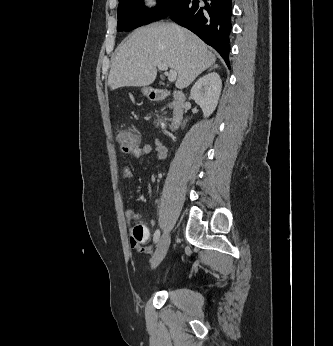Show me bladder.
<instances>
[{"label": "bladder", "mask_w": 333, "mask_h": 346, "mask_svg": "<svg viewBox=\"0 0 333 346\" xmlns=\"http://www.w3.org/2000/svg\"><path fill=\"white\" fill-rule=\"evenodd\" d=\"M167 282H168V277L161 278V279H159L158 281H156L155 287L164 286V285L167 284Z\"/></svg>", "instance_id": "1"}]
</instances>
